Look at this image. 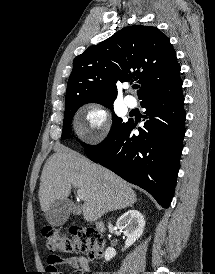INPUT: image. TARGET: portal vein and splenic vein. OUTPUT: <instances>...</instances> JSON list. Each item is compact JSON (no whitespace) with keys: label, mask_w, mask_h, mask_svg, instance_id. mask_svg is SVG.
<instances>
[{"label":"portal vein and splenic vein","mask_w":215,"mask_h":274,"mask_svg":"<svg viewBox=\"0 0 215 274\" xmlns=\"http://www.w3.org/2000/svg\"><path fill=\"white\" fill-rule=\"evenodd\" d=\"M77 197L81 200H85L86 199V193L84 190L78 189L77 190Z\"/></svg>","instance_id":"obj_1"}]
</instances>
